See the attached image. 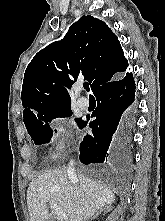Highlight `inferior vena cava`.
Here are the masks:
<instances>
[{"label":"inferior vena cava","instance_id":"1","mask_svg":"<svg viewBox=\"0 0 165 221\" xmlns=\"http://www.w3.org/2000/svg\"><path fill=\"white\" fill-rule=\"evenodd\" d=\"M73 165H74V161L71 160L69 163L67 172L70 177L76 178V173L74 171Z\"/></svg>","mask_w":165,"mask_h":221}]
</instances>
